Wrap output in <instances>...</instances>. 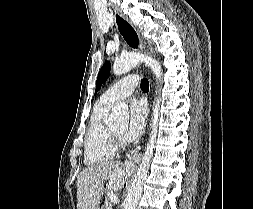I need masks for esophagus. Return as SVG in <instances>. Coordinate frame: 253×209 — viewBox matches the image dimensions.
<instances>
[{
    "label": "esophagus",
    "mask_w": 253,
    "mask_h": 209,
    "mask_svg": "<svg viewBox=\"0 0 253 209\" xmlns=\"http://www.w3.org/2000/svg\"><path fill=\"white\" fill-rule=\"evenodd\" d=\"M114 19L116 26L126 44L132 50L135 51L142 50L143 45L135 26L119 12L114 13ZM138 160H139L138 154L136 152H132L131 155H129L128 160L125 161V165L131 166L133 165L134 161L137 162Z\"/></svg>",
    "instance_id": "1"
}]
</instances>
